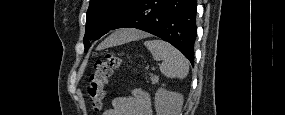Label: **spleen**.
Segmentation results:
<instances>
[{
    "instance_id": "obj_1",
    "label": "spleen",
    "mask_w": 285,
    "mask_h": 115,
    "mask_svg": "<svg viewBox=\"0 0 285 115\" xmlns=\"http://www.w3.org/2000/svg\"><path fill=\"white\" fill-rule=\"evenodd\" d=\"M145 46L156 61H162L161 72L168 78L184 79L189 72L188 60L176 48L163 40L146 41Z\"/></svg>"
}]
</instances>
